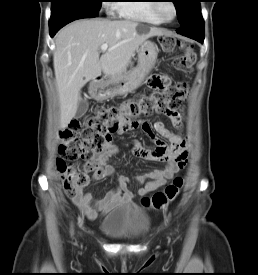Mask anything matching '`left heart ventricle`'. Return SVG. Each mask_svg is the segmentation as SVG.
Instances as JSON below:
<instances>
[{"label":"left heart ventricle","mask_w":258,"mask_h":275,"mask_svg":"<svg viewBox=\"0 0 258 275\" xmlns=\"http://www.w3.org/2000/svg\"><path fill=\"white\" fill-rule=\"evenodd\" d=\"M160 13L163 17L170 19L173 17L174 10L170 3L165 2L160 6Z\"/></svg>","instance_id":"1"}]
</instances>
